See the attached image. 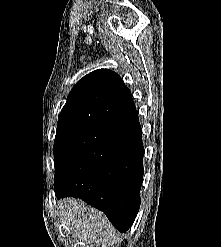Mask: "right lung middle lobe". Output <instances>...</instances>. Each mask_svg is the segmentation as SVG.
<instances>
[{"label":"right lung middle lobe","mask_w":221,"mask_h":247,"mask_svg":"<svg viewBox=\"0 0 221 247\" xmlns=\"http://www.w3.org/2000/svg\"><path fill=\"white\" fill-rule=\"evenodd\" d=\"M86 128L83 127H66L57 129L54 141V159L55 162L62 154L65 147L82 131Z\"/></svg>","instance_id":"1"}]
</instances>
